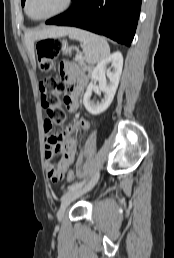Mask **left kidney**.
<instances>
[{
    "instance_id": "left-kidney-1",
    "label": "left kidney",
    "mask_w": 174,
    "mask_h": 258,
    "mask_svg": "<svg viewBox=\"0 0 174 258\" xmlns=\"http://www.w3.org/2000/svg\"><path fill=\"white\" fill-rule=\"evenodd\" d=\"M109 63H112V70L107 71L106 66ZM122 67V54L120 52H115L100 61L94 68L91 75V82L88 85L83 98V104L89 113L98 115L104 112L110 106L119 84ZM106 76L109 79V83H107ZM96 81L99 82L98 86L95 84ZM93 90L102 91L105 94L104 99H102L100 103H94L91 100Z\"/></svg>"
}]
</instances>
